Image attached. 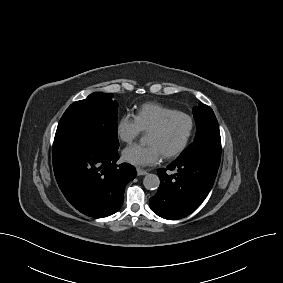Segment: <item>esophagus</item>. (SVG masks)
Wrapping results in <instances>:
<instances>
[{"label": "esophagus", "instance_id": "1", "mask_svg": "<svg viewBox=\"0 0 283 283\" xmlns=\"http://www.w3.org/2000/svg\"><path fill=\"white\" fill-rule=\"evenodd\" d=\"M137 174L139 176H142V175H146L147 174V171L143 170V169H140V168H137Z\"/></svg>", "mask_w": 283, "mask_h": 283}]
</instances>
